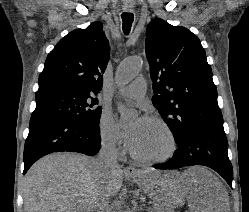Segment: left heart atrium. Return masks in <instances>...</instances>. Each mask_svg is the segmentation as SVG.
Masks as SVG:
<instances>
[{"label":"left heart atrium","mask_w":249,"mask_h":212,"mask_svg":"<svg viewBox=\"0 0 249 212\" xmlns=\"http://www.w3.org/2000/svg\"><path fill=\"white\" fill-rule=\"evenodd\" d=\"M140 126H141V120L133 123L131 126L125 128L122 131V134L126 140V143L132 151L137 146L138 140H139V134H140Z\"/></svg>","instance_id":"39dd6f15"}]
</instances>
